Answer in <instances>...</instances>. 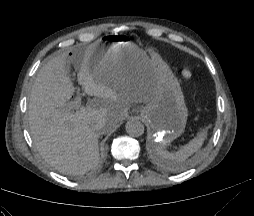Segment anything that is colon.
I'll return each instance as SVG.
<instances>
[{
    "label": "colon",
    "mask_w": 254,
    "mask_h": 216,
    "mask_svg": "<svg viewBox=\"0 0 254 216\" xmlns=\"http://www.w3.org/2000/svg\"><path fill=\"white\" fill-rule=\"evenodd\" d=\"M182 74L185 78H189L191 76V72L187 69L183 70Z\"/></svg>",
    "instance_id": "obj_1"
}]
</instances>
